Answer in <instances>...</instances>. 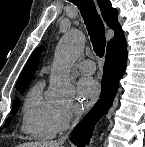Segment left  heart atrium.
Masks as SVG:
<instances>
[{"mask_svg": "<svg viewBox=\"0 0 145 147\" xmlns=\"http://www.w3.org/2000/svg\"><path fill=\"white\" fill-rule=\"evenodd\" d=\"M99 82L91 77L82 78L77 84V94L80 102L84 107L93 104L100 95Z\"/></svg>", "mask_w": 145, "mask_h": 147, "instance_id": "obj_1", "label": "left heart atrium"}]
</instances>
